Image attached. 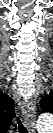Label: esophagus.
<instances>
[{"mask_svg": "<svg viewBox=\"0 0 53 133\" xmlns=\"http://www.w3.org/2000/svg\"><path fill=\"white\" fill-rule=\"evenodd\" d=\"M22 117L31 132L35 129V106L32 102L24 103L21 107Z\"/></svg>", "mask_w": 53, "mask_h": 133, "instance_id": "34e87169", "label": "esophagus"}]
</instances>
